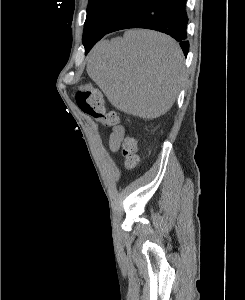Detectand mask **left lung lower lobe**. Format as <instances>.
<instances>
[{"label": "left lung lower lobe", "mask_w": 245, "mask_h": 300, "mask_svg": "<svg viewBox=\"0 0 245 300\" xmlns=\"http://www.w3.org/2000/svg\"><path fill=\"white\" fill-rule=\"evenodd\" d=\"M186 0H138L126 9L103 34L91 33L85 46V54L103 36L129 28H145L166 33L180 42L184 55L188 54L186 39Z\"/></svg>", "instance_id": "0a47b994"}]
</instances>
